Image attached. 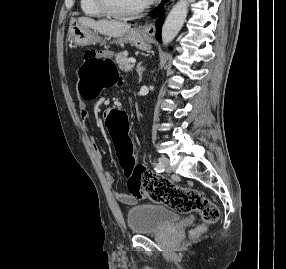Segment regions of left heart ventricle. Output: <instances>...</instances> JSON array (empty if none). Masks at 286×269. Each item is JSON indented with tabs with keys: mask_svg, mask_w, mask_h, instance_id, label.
Here are the masks:
<instances>
[{
	"mask_svg": "<svg viewBox=\"0 0 286 269\" xmlns=\"http://www.w3.org/2000/svg\"><path fill=\"white\" fill-rule=\"evenodd\" d=\"M112 5L119 11L130 12L145 4L144 0H110Z\"/></svg>",
	"mask_w": 286,
	"mask_h": 269,
	"instance_id": "left-heart-ventricle-1",
	"label": "left heart ventricle"
}]
</instances>
